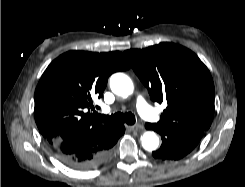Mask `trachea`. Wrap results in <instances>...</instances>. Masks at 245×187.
Segmentation results:
<instances>
[{
  "instance_id": "1",
  "label": "trachea",
  "mask_w": 245,
  "mask_h": 187,
  "mask_svg": "<svg viewBox=\"0 0 245 187\" xmlns=\"http://www.w3.org/2000/svg\"><path fill=\"white\" fill-rule=\"evenodd\" d=\"M97 117L107 123H112V124L127 123L128 125H133L135 124L136 121L134 114H132L131 112H125V113L118 112L112 114L111 116L97 114Z\"/></svg>"
}]
</instances>
